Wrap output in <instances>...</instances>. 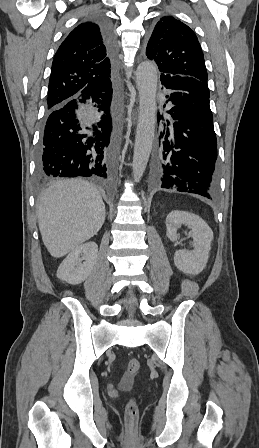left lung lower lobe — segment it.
<instances>
[{
  "label": "left lung lower lobe",
  "mask_w": 259,
  "mask_h": 448,
  "mask_svg": "<svg viewBox=\"0 0 259 448\" xmlns=\"http://www.w3.org/2000/svg\"><path fill=\"white\" fill-rule=\"evenodd\" d=\"M160 80L169 89L166 99L174 106L167 113L175 122L167 120L161 134L165 141L153 166L152 182L210 199L217 191L219 167L208 84L168 73H161Z\"/></svg>",
  "instance_id": "0a47b994"
}]
</instances>
